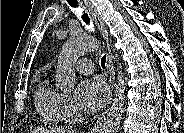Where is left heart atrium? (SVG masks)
Instances as JSON below:
<instances>
[{"label":"left heart atrium","instance_id":"left-heart-atrium-1","mask_svg":"<svg viewBox=\"0 0 184 133\" xmlns=\"http://www.w3.org/2000/svg\"><path fill=\"white\" fill-rule=\"evenodd\" d=\"M109 90L100 78L83 80L76 88L75 100L77 106L87 113L99 110L108 100Z\"/></svg>","mask_w":184,"mask_h":133}]
</instances>
